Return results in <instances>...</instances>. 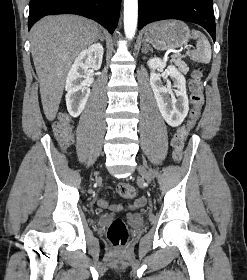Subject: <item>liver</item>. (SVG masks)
<instances>
[{
    "label": "liver",
    "mask_w": 247,
    "mask_h": 280,
    "mask_svg": "<svg viewBox=\"0 0 247 280\" xmlns=\"http://www.w3.org/2000/svg\"><path fill=\"white\" fill-rule=\"evenodd\" d=\"M99 35L97 23L75 15L46 16L32 27L31 53L40 80L43 111L49 121L57 115L72 62Z\"/></svg>",
    "instance_id": "obj_1"
}]
</instances>
